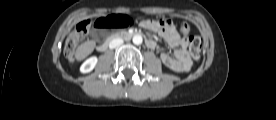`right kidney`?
Instances as JSON below:
<instances>
[{
    "instance_id": "obj_1",
    "label": "right kidney",
    "mask_w": 276,
    "mask_h": 120,
    "mask_svg": "<svg viewBox=\"0 0 276 120\" xmlns=\"http://www.w3.org/2000/svg\"><path fill=\"white\" fill-rule=\"evenodd\" d=\"M97 57L95 56H92L90 58H88L80 67V71L82 73H89L91 72L94 67L96 66L97 64Z\"/></svg>"
}]
</instances>
